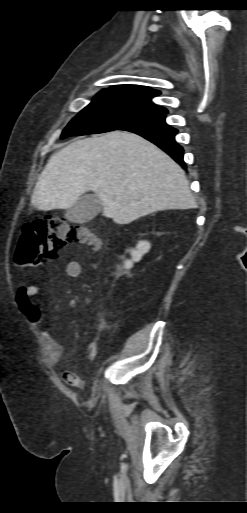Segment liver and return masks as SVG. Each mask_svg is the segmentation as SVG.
I'll return each mask as SVG.
<instances>
[{"label":"liver","mask_w":247,"mask_h":513,"mask_svg":"<svg viewBox=\"0 0 247 513\" xmlns=\"http://www.w3.org/2000/svg\"><path fill=\"white\" fill-rule=\"evenodd\" d=\"M88 191L100 199L103 216L117 224L197 207L184 170L156 145L127 131L80 139L52 155L31 203L42 211L68 209Z\"/></svg>","instance_id":"1"}]
</instances>
